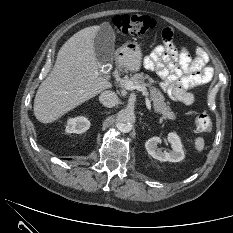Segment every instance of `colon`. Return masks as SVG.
I'll return each mask as SVG.
<instances>
[{
  "instance_id": "1",
  "label": "colon",
  "mask_w": 233,
  "mask_h": 233,
  "mask_svg": "<svg viewBox=\"0 0 233 233\" xmlns=\"http://www.w3.org/2000/svg\"><path fill=\"white\" fill-rule=\"evenodd\" d=\"M114 28L121 34L141 35L145 34L155 26V21L144 15H117L111 20ZM195 130L198 133H207L212 128V121L209 113L203 111L195 119Z\"/></svg>"
}]
</instances>
